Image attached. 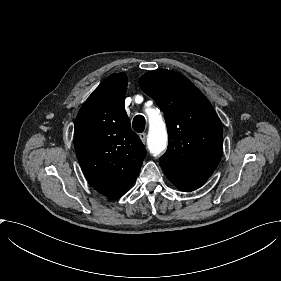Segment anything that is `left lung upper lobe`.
<instances>
[{"label": "left lung upper lobe", "mask_w": 281, "mask_h": 281, "mask_svg": "<svg viewBox=\"0 0 281 281\" xmlns=\"http://www.w3.org/2000/svg\"><path fill=\"white\" fill-rule=\"evenodd\" d=\"M139 84L165 116L169 145L159 161L185 170L214 171L223 151L222 127L202 92L171 70L147 72Z\"/></svg>", "instance_id": "left-lung-upper-lobe-1"}]
</instances>
